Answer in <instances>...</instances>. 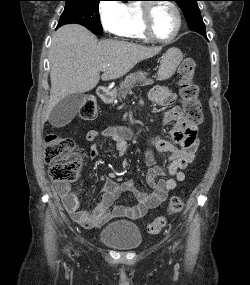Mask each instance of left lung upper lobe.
I'll list each match as a JSON object with an SVG mask.
<instances>
[{
  "instance_id": "left-lung-upper-lobe-1",
  "label": "left lung upper lobe",
  "mask_w": 250,
  "mask_h": 285,
  "mask_svg": "<svg viewBox=\"0 0 250 285\" xmlns=\"http://www.w3.org/2000/svg\"><path fill=\"white\" fill-rule=\"evenodd\" d=\"M184 13L189 28L201 35L206 34L205 24L202 20L197 4L199 0H174Z\"/></svg>"
}]
</instances>
